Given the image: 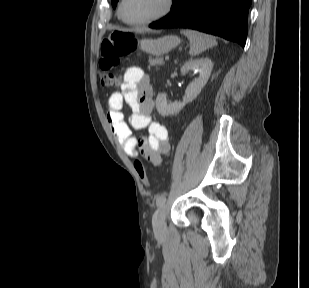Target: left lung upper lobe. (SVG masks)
Masks as SVG:
<instances>
[{
    "mask_svg": "<svg viewBox=\"0 0 309 288\" xmlns=\"http://www.w3.org/2000/svg\"><path fill=\"white\" fill-rule=\"evenodd\" d=\"M175 1H176V0H173V3H174ZM111 2H112L113 8H115L116 5H117L118 0H111Z\"/></svg>",
    "mask_w": 309,
    "mask_h": 288,
    "instance_id": "5c2ea615",
    "label": "left lung upper lobe"
}]
</instances>
